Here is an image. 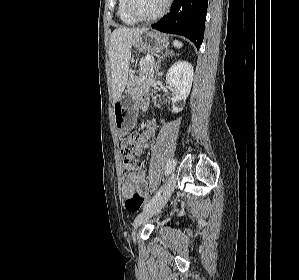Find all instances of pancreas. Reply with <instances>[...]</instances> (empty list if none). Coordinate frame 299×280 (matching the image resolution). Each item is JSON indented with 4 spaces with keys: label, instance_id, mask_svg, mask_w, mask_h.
Returning <instances> with one entry per match:
<instances>
[{
    "label": "pancreas",
    "instance_id": "obj_1",
    "mask_svg": "<svg viewBox=\"0 0 299 280\" xmlns=\"http://www.w3.org/2000/svg\"><path fill=\"white\" fill-rule=\"evenodd\" d=\"M157 67V62L143 61L140 66L139 75L134 76L129 81L128 91L130 93H136L140 89L149 87V83L154 78Z\"/></svg>",
    "mask_w": 299,
    "mask_h": 280
}]
</instances>
